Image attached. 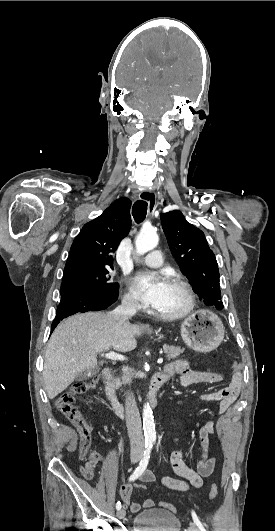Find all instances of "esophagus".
I'll list each match as a JSON object with an SVG mask.
<instances>
[{
    "instance_id": "obj_1",
    "label": "esophagus",
    "mask_w": 275,
    "mask_h": 531,
    "mask_svg": "<svg viewBox=\"0 0 275 531\" xmlns=\"http://www.w3.org/2000/svg\"><path fill=\"white\" fill-rule=\"evenodd\" d=\"M142 200L147 201L149 213L152 214L156 208L157 195L155 190H146L140 193Z\"/></svg>"
}]
</instances>
